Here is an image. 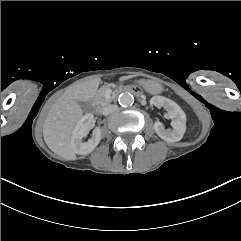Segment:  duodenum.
Wrapping results in <instances>:
<instances>
[{
	"label": "duodenum",
	"instance_id": "duodenum-1",
	"mask_svg": "<svg viewBox=\"0 0 241 241\" xmlns=\"http://www.w3.org/2000/svg\"><path fill=\"white\" fill-rule=\"evenodd\" d=\"M124 92H129V93H133L136 95H139L141 93L140 89L136 86H129L123 89ZM101 111V109L98 107L96 108V112L99 113Z\"/></svg>",
	"mask_w": 241,
	"mask_h": 241
}]
</instances>
